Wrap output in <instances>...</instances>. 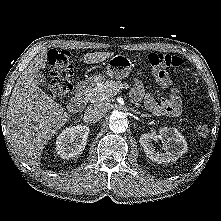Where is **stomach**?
Returning <instances> with one entry per match:
<instances>
[{"mask_svg": "<svg viewBox=\"0 0 221 221\" xmlns=\"http://www.w3.org/2000/svg\"><path fill=\"white\" fill-rule=\"evenodd\" d=\"M133 64L125 55L118 54L110 58L107 63L106 75L112 79L121 80L129 76L132 71ZM96 81H101V76H95Z\"/></svg>", "mask_w": 221, "mask_h": 221, "instance_id": "0dacf381", "label": "stomach"}]
</instances>
